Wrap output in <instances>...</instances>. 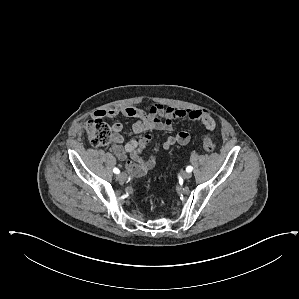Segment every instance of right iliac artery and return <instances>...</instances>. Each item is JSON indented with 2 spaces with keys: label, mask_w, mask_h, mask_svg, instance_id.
Masks as SVG:
<instances>
[{
  "label": "right iliac artery",
  "mask_w": 299,
  "mask_h": 299,
  "mask_svg": "<svg viewBox=\"0 0 299 299\" xmlns=\"http://www.w3.org/2000/svg\"><path fill=\"white\" fill-rule=\"evenodd\" d=\"M113 172H114L115 174H119V173H120V170H119L118 168H114V169H113Z\"/></svg>",
  "instance_id": "82829eb1"
}]
</instances>
